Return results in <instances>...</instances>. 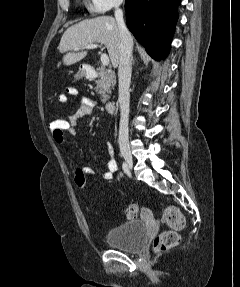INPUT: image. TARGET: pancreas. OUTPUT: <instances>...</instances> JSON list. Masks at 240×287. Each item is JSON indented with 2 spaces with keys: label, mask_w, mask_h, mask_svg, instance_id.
<instances>
[{
  "label": "pancreas",
  "mask_w": 240,
  "mask_h": 287,
  "mask_svg": "<svg viewBox=\"0 0 240 287\" xmlns=\"http://www.w3.org/2000/svg\"><path fill=\"white\" fill-rule=\"evenodd\" d=\"M98 79L95 81V91L100 95V99L103 103H106L109 99V94L116 84L115 73L104 67L98 68Z\"/></svg>",
  "instance_id": "cf45deb5"
}]
</instances>
